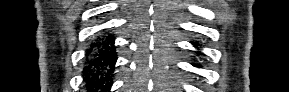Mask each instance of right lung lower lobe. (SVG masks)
I'll return each instance as SVG.
<instances>
[{
	"label": "right lung lower lobe",
	"mask_w": 289,
	"mask_h": 92,
	"mask_svg": "<svg viewBox=\"0 0 289 92\" xmlns=\"http://www.w3.org/2000/svg\"><path fill=\"white\" fill-rule=\"evenodd\" d=\"M114 42L112 35H104L92 42L87 50L84 80L91 92H105L110 88L117 60Z\"/></svg>",
	"instance_id": "right-lung-lower-lobe-1"
}]
</instances>
